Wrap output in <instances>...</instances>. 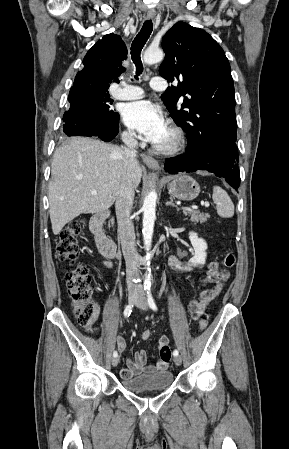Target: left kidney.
Instances as JSON below:
<instances>
[{"instance_id": "5707ae66", "label": "left kidney", "mask_w": 289, "mask_h": 449, "mask_svg": "<svg viewBox=\"0 0 289 449\" xmlns=\"http://www.w3.org/2000/svg\"><path fill=\"white\" fill-rule=\"evenodd\" d=\"M189 239L195 251L194 256L189 260V264L194 267L204 265L207 256V243L202 238H198L194 232L189 233Z\"/></svg>"}]
</instances>
